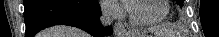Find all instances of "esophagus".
Wrapping results in <instances>:
<instances>
[{"label":"esophagus","instance_id":"esophagus-1","mask_svg":"<svg viewBox=\"0 0 219 37\" xmlns=\"http://www.w3.org/2000/svg\"><path fill=\"white\" fill-rule=\"evenodd\" d=\"M115 34L118 37H124L125 35H127V31L121 23L115 24Z\"/></svg>","mask_w":219,"mask_h":37}]
</instances>
